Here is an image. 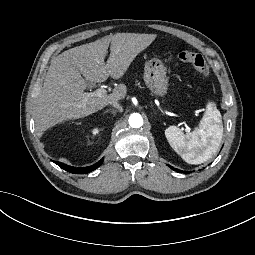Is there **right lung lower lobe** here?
Returning a JSON list of instances; mask_svg holds the SVG:
<instances>
[{
    "label": "right lung lower lobe",
    "mask_w": 255,
    "mask_h": 255,
    "mask_svg": "<svg viewBox=\"0 0 255 255\" xmlns=\"http://www.w3.org/2000/svg\"><path fill=\"white\" fill-rule=\"evenodd\" d=\"M58 166H60L62 169L70 172V173H74V174H86V173H89L93 170H95L96 168H98L102 163H103V159L100 160L99 162L91 165V166H88V167H79V168H76V167H72V166H69V165H66L64 163H61V162H55Z\"/></svg>",
    "instance_id": "1"
}]
</instances>
